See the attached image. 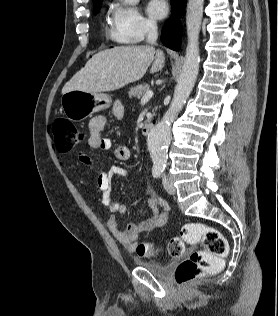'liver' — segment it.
Returning a JSON list of instances; mask_svg holds the SVG:
<instances>
[{"label": "liver", "mask_w": 278, "mask_h": 316, "mask_svg": "<svg viewBox=\"0 0 278 316\" xmlns=\"http://www.w3.org/2000/svg\"><path fill=\"white\" fill-rule=\"evenodd\" d=\"M164 63L163 51L152 46H122L104 50L89 59L65 84L62 93L118 90L141 79L151 64L150 73H155L164 67Z\"/></svg>", "instance_id": "1"}]
</instances>
